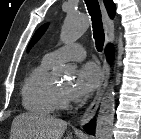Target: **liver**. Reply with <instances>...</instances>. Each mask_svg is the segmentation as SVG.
Returning a JSON list of instances; mask_svg holds the SVG:
<instances>
[{
  "label": "liver",
  "instance_id": "6515ba94",
  "mask_svg": "<svg viewBox=\"0 0 141 139\" xmlns=\"http://www.w3.org/2000/svg\"><path fill=\"white\" fill-rule=\"evenodd\" d=\"M67 125L49 114L26 112L14 118L11 139H61Z\"/></svg>",
  "mask_w": 141,
  "mask_h": 139
}]
</instances>
